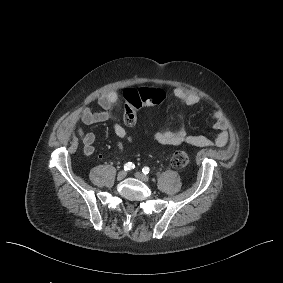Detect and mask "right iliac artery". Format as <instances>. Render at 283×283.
Instances as JSON below:
<instances>
[{
  "label": "right iliac artery",
  "mask_w": 283,
  "mask_h": 283,
  "mask_svg": "<svg viewBox=\"0 0 283 283\" xmlns=\"http://www.w3.org/2000/svg\"><path fill=\"white\" fill-rule=\"evenodd\" d=\"M135 168V165L132 163V162H128L124 165V170L127 171V170H132Z\"/></svg>",
  "instance_id": "right-iliac-artery-1"
}]
</instances>
